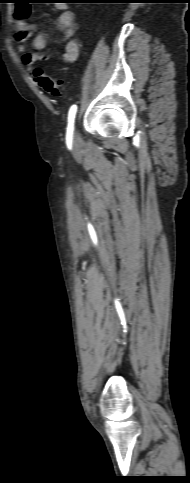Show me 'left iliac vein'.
Here are the masks:
<instances>
[{"mask_svg":"<svg viewBox=\"0 0 190 483\" xmlns=\"http://www.w3.org/2000/svg\"><path fill=\"white\" fill-rule=\"evenodd\" d=\"M79 139H80L79 132H78L77 127L75 126L74 131H73V141L78 142Z\"/></svg>","mask_w":190,"mask_h":483,"instance_id":"obj_1","label":"left iliac vein"}]
</instances>
